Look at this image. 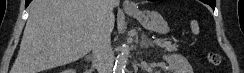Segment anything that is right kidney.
<instances>
[{
    "label": "right kidney",
    "instance_id": "obj_1",
    "mask_svg": "<svg viewBox=\"0 0 244 73\" xmlns=\"http://www.w3.org/2000/svg\"><path fill=\"white\" fill-rule=\"evenodd\" d=\"M62 73H76L74 69H68L66 71H63Z\"/></svg>",
    "mask_w": 244,
    "mask_h": 73
}]
</instances>
